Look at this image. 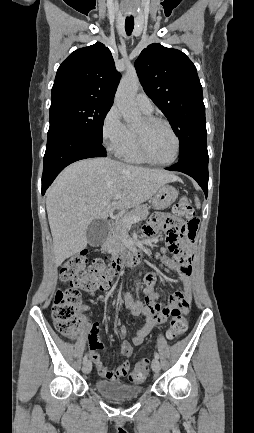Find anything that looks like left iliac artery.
Wrapping results in <instances>:
<instances>
[{
    "label": "left iliac artery",
    "instance_id": "obj_1",
    "mask_svg": "<svg viewBox=\"0 0 254 433\" xmlns=\"http://www.w3.org/2000/svg\"><path fill=\"white\" fill-rule=\"evenodd\" d=\"M154 357H155L156 359H159V354H158L157 352H155V353H154Z\"/></svg>",
    "mask_w": 254,
    "mask_h": 433
}]
</instances>
